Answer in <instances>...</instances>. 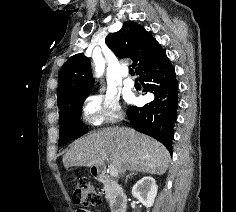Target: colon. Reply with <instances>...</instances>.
Segmentation results:
<instances>
[{"label":"colon","instance_id":"1","mask_svg":"<svg viewBox=\"0 0 236 212\" xmlns=\"http://www.w3.org/2000/svg\"><path fill=\"white\" fill-rule=\"evenodd\" d=\"M73 200L83 207L95 206L100 203V197L96 193L91 182L85 178L77 180L73 192Z\"/></svg>","mask_w":236,"mask_h":212}]
</instances>
